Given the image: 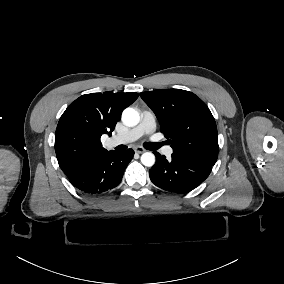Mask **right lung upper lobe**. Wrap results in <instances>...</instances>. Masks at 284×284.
Masks as SVG:
<instances>
[{"label": "right lung upper lobe", "instance_id": "right-lung-upper-lobe-1", "mask_svg": "<svg viewBox=\"0 0 284 284\" xmlns=\"http://www.w3.org/2000/svg\"><path fill=\"white\" fill-rule=\"evenodd\" d=\"M138 98L135 92L91 93L73 101L62 114L55 132V152L68 178L106 155L100 137L111 136L122 111Z\"/></svg>", "mask_w": 284, "mask_h": 284}]
</instances>
